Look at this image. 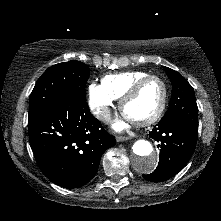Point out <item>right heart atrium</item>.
<instances>
[{
    "label": "right heart atrium",
    "mask_w": 221,
    "mask_h": 221,
    "mask_svg": "<svg viewBox=\"0 0 221 221\" xmlns=\"http://www.w3.org/2000/svg\"><path fill=\"white\" fill-rule=\"evenodd\" d=\"M88 101L93 114L102 122H107L114 106V98L102 84L91 83L88 87Z\"/></svg>",
    "instance_id": "d8ad5b80"
}]
</instances>
